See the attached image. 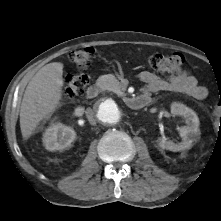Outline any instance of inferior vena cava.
Here are the masks:
<instances>
[{
  "instance_id": "obj_1",
  "label": "inferior vena cava",
  "mask_w": 221,
  "mask_h": 221,
  "mask_svg": "<svg viewBox=\"0 0 221 221\" xmlns=\"http://www.w3.org/2000/svg\"><path fill=\"white\" fill-rule=\"evenodd\" d=\"M86 116L90 124L95 125L96 124V119L95 115L92 109L88 108L86 110Z\"/></svg>"
}]
</instances>
